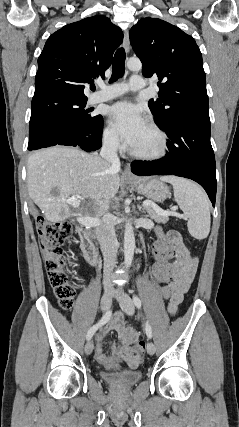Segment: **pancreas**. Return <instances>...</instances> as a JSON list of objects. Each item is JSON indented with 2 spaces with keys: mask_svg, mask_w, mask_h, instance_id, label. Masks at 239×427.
<instances>
[{
  "mask_svg": "<svg viewBox=\"0 0 239 427\" xmlns=\"http://www.w3.org/2000/svg\"><path fill=\"white\" fill-rule=\"evenodd\" d=\"M145 210L147 212V216L150 217L152 220H154L157 223L165 224L169 220L168 216H163L159 214L152 206H146Z\"/></svg>",
  "mask_w": 239,
  "mask_h": 427,
  "instance_id": "pancreas-1",
  "label": "pancreas"
}]
</instances>
